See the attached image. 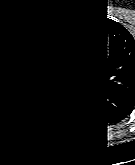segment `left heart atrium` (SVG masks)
I'll use <instances>...</instances> for the list:
<instances>
[{
	"mask_svg": "<svg viewBox=\"0 0 135 165\" xmlns=\"http://www.w3.org/2000/svg\"><path fill=\"white\" fill-rule=\"evenodd\" d=\"M79 70V66L78 65H69L67 68H66V71L68 73H74L76 71Z\"/></svg>",
	"mask_w": 135,
	"mask_h": 165,
	"instance_id": "39dd6f15",
	"label": "left heart atrium"
}]
</instances>
